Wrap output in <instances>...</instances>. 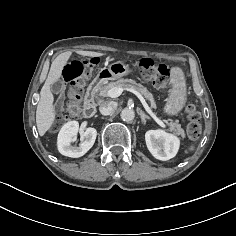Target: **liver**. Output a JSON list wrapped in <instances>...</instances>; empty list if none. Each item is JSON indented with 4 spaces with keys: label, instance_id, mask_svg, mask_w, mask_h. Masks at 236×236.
Returning a JSON list of instances; mask_svg holds the SVG:
<instances>
[{
    "label": "liver",
    "instance_id": "obj_1",
    "mask_svg": "<svg viewBox=\"0 0 236 236\" xmlns=\"http://www.w3.org/2000/svg\"><path fill=\"white\" fill-rule=\"evenodd\" d=\"M77 54L88 57H100L104 53L94 51L77 50ZM72 52L67 51L58 55L51 64L47 79L40 91V100L36 110V124L40 136H43L52 126L55 120L54 97L51 92V84L56 82L62 74V70L71 57Z\"/></svg>",
    "mask_w": 236,
    "mask_h": 236
}]
</instances>
